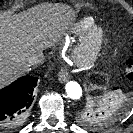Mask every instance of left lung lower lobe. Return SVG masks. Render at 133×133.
<instances>
[{
  "mask_svg": "<svg viewBox=\"0 0 133 133\" xmlns=\"http://www.w3.org/2000/svg\"><path fill=\"white\" fill-rule=\"evenodd\" d=\"M116 89V88H115ZM120 111V109H117V107H116V109H115V113H117V112H119ZM102 122V124L104 125V121H101Z\"/></svg>",
  "mask_w": 133,
  "mask_h": 133,
  "instance_id": "obj_1",
  "label": "left lung lower lobe"
}]
</instances>
